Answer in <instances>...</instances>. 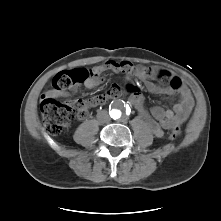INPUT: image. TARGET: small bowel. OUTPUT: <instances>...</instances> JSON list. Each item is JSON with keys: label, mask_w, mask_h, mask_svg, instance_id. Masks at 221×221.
<instances>
[{"label": "small bowel", "mask_w": 221, "mask_h": 221, "mask_svg": "<svg viewBox=\"0 0 221 221\" xmlns=\"http://www.w3.org/2000/svg\"><path fill=\"white\" fill-rule=\"evenodd\" d=\"M105 71L124 72L126 74L134 73L140 79L145 81L146 88L149 92L178 97V102L172 109L155 106L148 111L145 107L143 96L138 92L130 93L131 104L155 136L161 137L164 130L178 128L188 119L193 107V98L190 90L186 86H182L179 90H174L171 87H161L148 80L140 67H133V65L127 61L115 60H109L104 64L93 67L91 76L84 81V86L87 89L98 88L103 82L102 73ZM129 85L130 78L127 75L120 85H113L105 96H96L88 99H74L71 100L68 105L75 108L78 117L83 119L88 117L91 108L99 106L113 98H117L123 92L129 93L127 90ZM118 90L120 91L116 94ZM48 92L55 97H68L70 95L67 91L59 93L54 91Z\"/></svg>", "instance_id": "1"}]
</instances>
